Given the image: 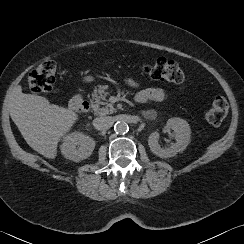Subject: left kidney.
I'll use <instances>...</instances> for the list:
<instances>
[{"label":"left kidney","instance_id":"5707ae66","mask_svg":"<svg viewBox=\"0 0 244 244\" xmlns=\"http://www.w3.org/2000/svg\"><path fill=\"white\" fill-rule=\"evenodd\" d=\"M166 128L172 129L175 133V143H171L167 148L158 144L159 133L152 132L148 137L150 150L160 158H170L177 153L183 152L191 139V129L188 122L182 118L173 117L168 119Z\"/></svg>","mask_w":244,"mask_h":244}]
</instances>
